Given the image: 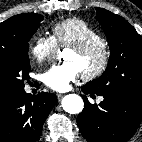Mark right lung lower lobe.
<instances>
[{"mask_svg": "<svg viewBox=\"0 0 142 142\" xmlns=\"http://www.w3.org/2000/svg\"><path fill=\"white\" fill-rule=\"evenodd\" d=\"M57 103L54 94L41 92L31 97L17 92L0 108V142H35L42 126Z\"/></svg>", "mask_w": 142, "mask_h": 142, "instance_id": "1", "label": "right lung lower lobe"}]
</instances>
